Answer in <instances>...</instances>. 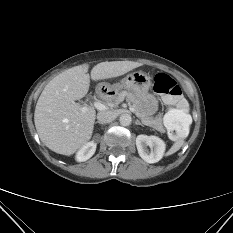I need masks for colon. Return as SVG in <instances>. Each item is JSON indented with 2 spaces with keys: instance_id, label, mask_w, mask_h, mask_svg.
<instances>
[{
  "instance_id": "obj_1",
  "label": "colon",
  "mask_w": 233,
  "mask_h": 233,
  "mask_svg": "<svg viewBox=\"0 0 233 233\" xmlns=\"http://www.w3.org/2000/svg\"><path fill=\"white\" fill-rule=\"evenodd\" d=\"M154 90L164 96L167 111L164 121L172 139L184 137L189 129L191 116L186 101L176 81L165 73H158L154 78Z\"/></svg>"
}]
</instances>
